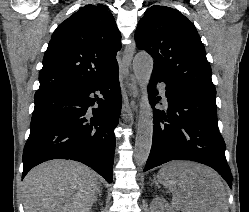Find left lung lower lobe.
Masks as SVG:
<instances>
[{
	"label": "left lung lower lobe",
	"mask_w": 249,
	"mask_h": 212,
	"mask_svg": "<svg viewBox=\"0 0 249 212\" xmlns=\"http://www.w3.org/2000/svg\"><path fill=\"white\" fill-rule=\"evenodd\" d=\"M157 82L166 84L167 110H153L154 128L144 172L171 160H190L215 169L232 186L225 142L218 129L216 95L176 83L152 72L148 86L154 107L161 99Z\"/></svg>",
	"instance_id": "0a47b994"
}]
</instances>
